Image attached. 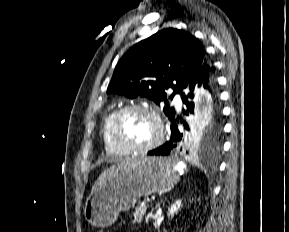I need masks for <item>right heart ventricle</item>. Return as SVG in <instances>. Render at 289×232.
<instances>
[{
	"label": "right heart ventricle",
	"mask_w": 289,
	"mask_h": 232,
	"mask_svg": "<svg viewBox=\"0 0 289 232\" xmlns=\"http://www.w3.org/2000/svg\"><path fill=\"white\" fill-rule=\"evenodd\" d=\"M117 112V109L109 111L103 119L101 126V135L104 144V148L109 155L112 156H125L128 153L120 149L112 139L111 136V125L113 118Z\"/></svg>",
	"instance_id": "1"
}]
</instances>
